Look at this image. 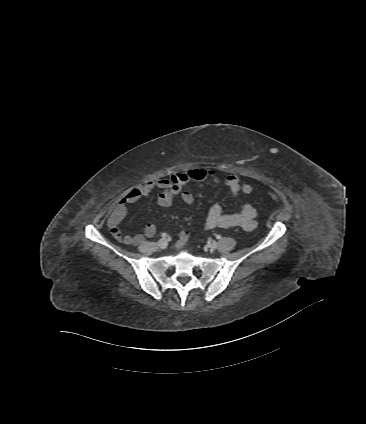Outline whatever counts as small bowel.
<instances>
[{"mask_svg": "<svg viewBox=\"0 0 366 424\" xmlns=\"http://www.w3.org/2000/svg\"><path fill=\"white\" fill-rule=\"evenodd\" d=\"M206 172L207 178L202 182L213 184L220 182V178L213 171ZM190 181L194 180L189 177V172L177 173L170 178L154 179L129 190L109 216L107 224L112 236L126 245H138L145 238L153 237L157 231L156 225L153 223H148L142 234L123 235L121 233L119 226L127 215V205L137 202L154 189L161 190L156 199L159 206H170L175 196H179L184 203L191 205L194 202V195L185 188V185ZM223 182L233 197H237L241 192L244 193L242 183L237 175H228ZM256 215V209L250 203H243L240 211L232 214L225 213L221 205L215 204L208 211L204 228L228 229L239 227L249 231L256 226ZM187 240L188 233L184 230L180 231L176 249H181Z\"/></svg>", "mask_w": 366, "mask_h": 424, "instance_id": "small-bowel-1", "label": "small bowel"}]
</instances>
